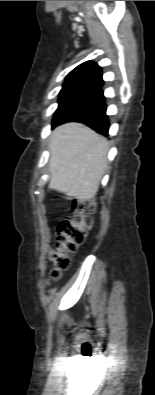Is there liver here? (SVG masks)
I'll use <instances>...</instances> for the list:
<instances>
[{
	"instance_id": "obj_1",
	"label": "liver",
	"mask_w": 155,
	"mask_h": 395,
	"mask_svg": "<svg viewBox=\"0 0 155 395\" xmlns=\"http://www.w3.org/2000/svg\"><path fill=\"white\" fill-rule=\"evenodd\" d=\"M49 188L83 203L93 198L107 168L109 144L75 122L58 126L50 137Z\"/></svg>"
}]
</instances>
